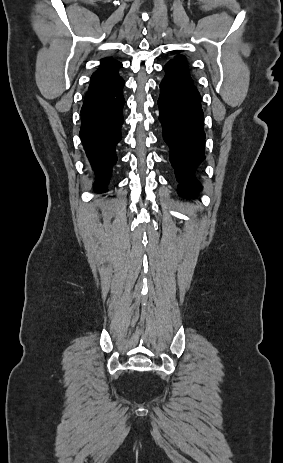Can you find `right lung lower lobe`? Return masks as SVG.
I'll return each mask as SVG.
<instances>
[{"mask_svg":"<svg viewBox=\"0 0 283 463\" xmlns=\"http://www.w3.org/2000/svg\"><path fill=\"white\" fill-rule=\"evenodd\" d=\"M123 86L124 80L117 76L89 88L81 109L80 137L96 173L97 182L94 186L98 191H105L112 166L117 161L115 146L121 140L120 129L124 121Z\"/></svg>","mask_w":283,"mask_h":463,"instance_id":"right-lung-lower-lobe-1","label":"right lung lower lobe"}]
</instances>
